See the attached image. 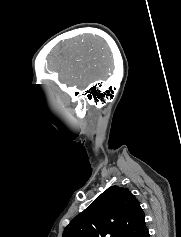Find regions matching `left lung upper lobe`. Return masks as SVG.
Instances as JSON below:
<instances>
[{
	"instance_id": "left-lung-upper-lobe-1",
	"label": "left lung upper lobe",
	"mask_w": 181,
	"mask_h": 237,
	"mask_svg": "<svg viewBox=\"0 0 181 237\" xmlns=\"http://www.w3.org/2000/svg\"><path fill=\"white\" fill-rule=\"evenodd\" d=\"M146 229L139 201L127 188L115 185L78 214L62 237H139Z\"/></svg>"
}]
</instances>
